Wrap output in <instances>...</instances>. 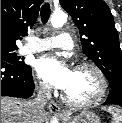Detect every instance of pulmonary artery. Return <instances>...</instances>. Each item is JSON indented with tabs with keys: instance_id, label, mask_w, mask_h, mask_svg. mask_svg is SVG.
I'll list each match as a JSON object with an SVG mask.
<instances>
[{
	"instance_id": "1",
	"label": "pulmonary artery",
	"mask_w": 122,
	"mask_h": 123,
	"mask_svg": "<svg viewBox=\"0 0 122 123\" xmlns=\"http://www.w3.org/2000/svg\"><path fill=\"white\" fill-rule=\"evenodd\" d=\"M73 46L74 44L71 36L66 32H62L57 36L48 37L44 39H30V41L21 48V53H36L53 48L71 50Z\"/></svg>"
}]
</instances>
